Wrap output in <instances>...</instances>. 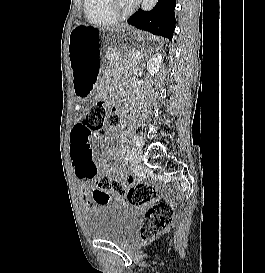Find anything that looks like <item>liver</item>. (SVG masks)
I'll return each mask as SVG.
<instances>
[{
  "mask_svg": "<svg viewBox=\"0 0 265 273\" xmlns=\"http://www.w3.org/2000/svg\"><path fill=\"white\" fill-rule=\"evenodd\" d=\"M118 27H127L126 25H120V26H117L116 28H118Z\"/></svg>",
  "mask_w": 265,
  "mask_h": 273,
  "instance_id": "obj_1",
  "label": "liver"
}]
</instances>
